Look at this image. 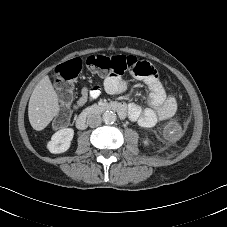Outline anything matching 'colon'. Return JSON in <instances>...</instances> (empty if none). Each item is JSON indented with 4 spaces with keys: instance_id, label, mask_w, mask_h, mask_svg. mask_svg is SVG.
Segmentation results:
<instances>
[{
    "instance_id": "1",
    "label": "colon",
    "mask_w": 227,
    "mask_h": 227,
    "mask_svg": "<svg viewBox=\"0 0 227 227\" xmlns=\"http://www.w3.org/2000/svg\"><path fill=\"white\" fill-rule=\"evenodd\" d=\"M85 66L94 73L102 75H121L124 73H134L141 77L157 76V70L152 64L146 61H140L134 56L116 55H92L84 60ZM83 62L79 58H74L62 65L56 70L59 79V93L62 102L68 105L75 89V79L81 72ZM71 111L66 108L53 122L56 129L64 128L69 122Z\"/></svg>"
}]
</instances>
